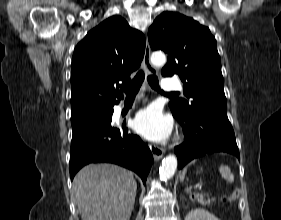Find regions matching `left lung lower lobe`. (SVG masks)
Returning <instances> with one entry per match:
<instances>
[{
    "instance_id": "1",
    "label": "left lung lower lobe",
    "mask_w": 281,
    "mask_h": 220,
    "mask_svg": "<svg viewBox=\"0 0 281 220\" xmlns=\"http://www.w3.org/2000/svg\"><path fill=\"white\" fill-rule=\"evenodd\" d=\"M172 113L181 124L185 135V142L174 149L179 169L194 158L214 152H227L239 158L235 134L227 112L206 110L190 117Z\"/></svg>"
}]
</instances>
